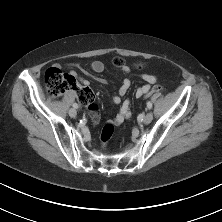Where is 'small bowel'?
<instances>
[{
	"instance_id": "obj_1",
	"label": "small bowel",
	"mask_w": 222,
	"mask_h": 222,
	"mask_svg": "<svg viewBox=\"0 0 222 222\" xmlns=\"http://www.w3.org/2000/svg\"><path fill=\"white\" fill-rule=\"evenodd\" d=\"M70 67L75 68V69H80L81 65L79 63H72V64H70ZM104 69H105V65L102 61L96 60V61H93L90 64V70L93 73H96V74L102 73L104 71ZM122 71L124 73H128L129 68L124 67L122 69ZM71 73L73 75H76L74 71H72ZM92 78L95 79L96 81L102 83V84L107 83V81L103 78H97V77H94V76H92ZM140 78L145 82V84L136 89V91H135L136 98H141V97L145 96L151 90V86L157 81L156 76L152 75V74H142L140 76ZM79 81L85 87L89 85V80L87 78L79 77ZM130 86H131L130 80L128 78H123L122 81H121V85L118 89L117 95H115L112 98V103L115 104V105H120V108H119L117 114L115 115V117L113 119H111L109 121V123H111L113 125H120L125 120H128L131 117L130 101L129 100H123V97L129 91ZM91 115H92L93 122L97 123L99 121L98 114L96 112H91Z\"/></svg>"
}]
</instances>
